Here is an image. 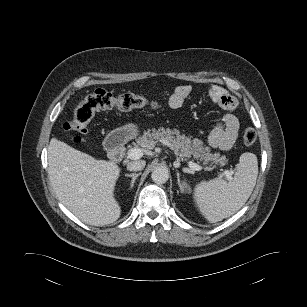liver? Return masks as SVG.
<instances>
[{
    "instance_id": "liver-1",
    "label": "liver",
    "mask_w": 307,
    "mask_h": 307,
    "mask_svg": "<svg viewBox=\"0 0 307 307\" xmlns=\"http://www.w3.org/2000/svg\"><path fill=\"white\" fill-rule=\"evenodd\" d=\"M48 165L56 196L81 221L104 226L120 217L121 208L114 197L120 175L116 163L97 160L52 138Z\"/></svg>"
}]
</instances>
